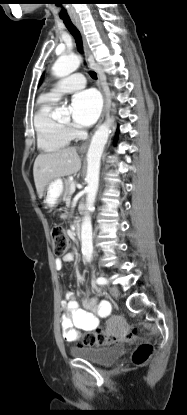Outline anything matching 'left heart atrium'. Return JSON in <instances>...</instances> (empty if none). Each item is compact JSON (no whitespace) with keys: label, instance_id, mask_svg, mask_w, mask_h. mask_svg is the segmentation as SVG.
<instances>
[{"label":"left heart atrium","instance_id":"39dd6f15","mask_svg":"<svg viewBox=\"0 0 187 415\" xmlns=\"http://www.w3.org/2000/svg\"><path fill=\"white\" fill-rule=\"evenodd\" d=\"M74 123L79 127L91 126L101 110V99L93 89H87L75 94L70 105Z\"/></svg>","mask_w":187,"mask_h":415}]
</instances>
